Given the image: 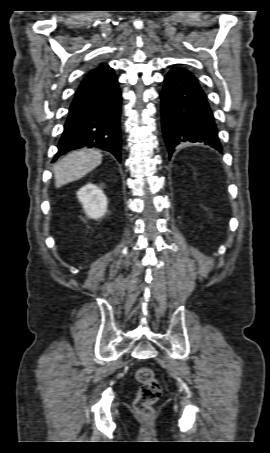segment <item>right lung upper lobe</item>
Wrapping results in <instances>:
<instances>
[{"instance_id":"1","label":"right lung upper lobe","mask_w":270,"mask_h":453,"mask_svg":"<svg viewBox=\"0 0 270 453\" xmlns=\"http://www.w3.org/2000/svg\"><path fill=\"white\" fill-rule=\"evenodd\" d=\"M106 67H108V66H107V65H100L99 67H97V68L91 70V71L87 74V76L85 77L84 80L89 79V78H91V77H94V76L100 74ZM84 80H83V81H84Z\"/></svg>"}]
</instances>
